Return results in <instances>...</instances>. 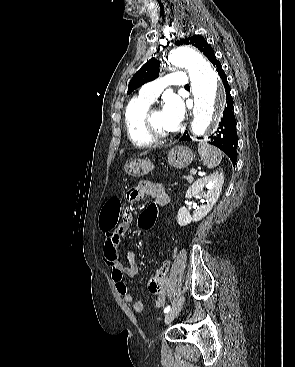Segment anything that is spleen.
I'll return each instance as SVG.
<instances>
[{"label": "spleen", "instance_id": "obj_1", "mask_svg": "<svg viewBox=\"0 0 295 367\" xmlns=\"http://www.w3.org/2000/svg\"><path fill=\"white\" fill-rule=\"evenodd\" d=\"M198 152L204 165L210 169L218 166L224 157L223 153L218 148L206 142L199 143Z\"/></svg>", "mask_w": 295, "mask_h": 367}]
</instances>
